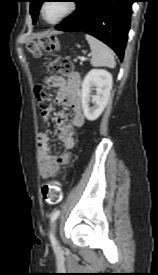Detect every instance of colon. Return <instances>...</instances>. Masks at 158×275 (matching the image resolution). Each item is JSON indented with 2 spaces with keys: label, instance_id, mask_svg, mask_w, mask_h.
Returning a JSON list of instances; mask_svg holds the SVG:
<instances>
[{
  "label": "colon",
  "instance_id": "5ec220e1",
  "mask_svg": "<svg viewBox=\"0 0 158 275\" xmlns=\"http://www.w3.org/2000/svg\"><path fill=\"white\" fill-rule=\"evenodd\" d=\"M59 42L52 34L40 36L27 44V50L35 57L45 52L58 50ZM49 71L54 74H67L72 70V63L69 59L58 57L48 64ZM38 104L42 112H49L56 99V93L44 86L36 88ZM41 195L48 204H57L62 198L61 184L56 181H45L41 186Z\"/></svg>",
  "mask_w": 158,
  "mask_h": 275
}]
</instances>
